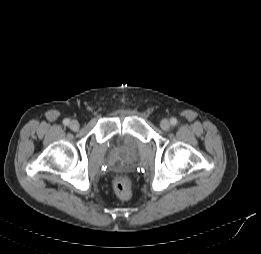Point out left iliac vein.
I'll use <instances>...</instances> for the list:
<instances>
[{
	"instance_id": "obj_1",
	"label": "left iliac vein",
	"mask_w": 261,
	"mask_h": 254,
	"mask_svg": "<svg viewBox=\"0 0 261 254\" xmlns=\"http://www.w3.org/2000/svg\"><path fill=\"white\" fill-rule=\"evenodd\" d=\"M160 127L164 130V131H168L171 127L170 122L167 119H163L160 122Z\"/></svg>"
}]
</instances>
